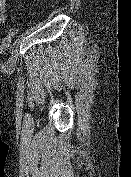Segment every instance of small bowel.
<instances>
[{
	"label": "small bowel",
	"instance_id": "1",
	"mask_svg": "<svg viewBox=\"0 0 131 177\" xmlns=\"http://www.w3.org/2000/svg\"><path fill=\"white\" fill-rule=\"evenodd\" d=\"M10 0H0V25L7 20V3Z\"/></svg>",
	"mask_w": 131,
	"mask_h": 177
}]
</instances>
